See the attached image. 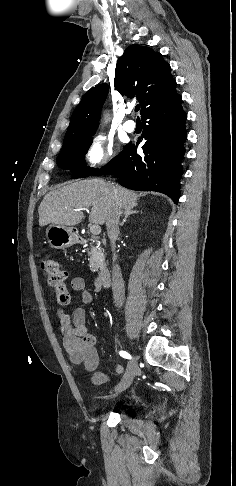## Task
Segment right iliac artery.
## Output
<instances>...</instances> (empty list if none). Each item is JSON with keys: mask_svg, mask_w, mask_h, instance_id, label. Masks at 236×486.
<instances>
[{"mask_svg": "<svg viewBox=\"0 0 236 486\" xmlns=\"http://www.w3.org/2000/svg\"><path fill=\"white\" fill-rule=\"evenodd\" d=\"M120 356L123 357V358H126V359H131V356L128 352L126 351H120L119 352Z\"/></svg>", "mask_w": 236, "mask_h": 486, "instance_id": "right-iliac-artery-1", "label": "right iliac artery"}]
</instances>
